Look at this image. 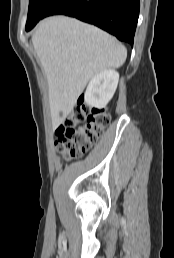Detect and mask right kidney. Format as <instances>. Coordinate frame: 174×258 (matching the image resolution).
<instances>
[{"label":"right kidney","instance_id":"obj_1","mask_svg":"<svg viewBox=\"0 0 174 258\" xmlns=\"http://www.w3.org/2000/svg\"><path fill=\"white\" fill-rule=\"evenodd\" d=\"M119 81V73L113 69L104 70L90 80L84 94L89 107L104 108L112 99Z\"/></svg>","mask_w":174,"mask_h":258}]
</instances>
